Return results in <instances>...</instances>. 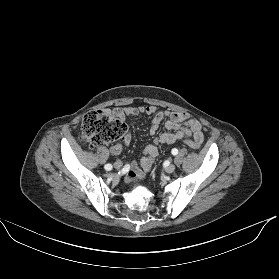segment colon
Here are the masks:
<instances>
[{
    "label": "colon",
    "mask_w": 279,
    "mask_h": 279,
    "mask_svg": "<svg viewBox=\"0 0 279 279\" xmlns=\"http://www.w3.org/2000/svg\"><path fill=\"white\" fill-rule=\"evenodd\" d=\"M126 125L116 112L109 110L90 111L82 119L80 138L82 141L98 146L122 138ZM192 149H199L200 144L192 140H183Z\"/></svg>",
    "instance_id": "5ec220e1"
}]
</instances>
